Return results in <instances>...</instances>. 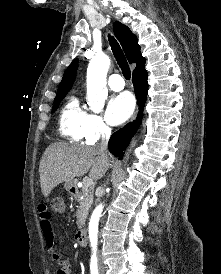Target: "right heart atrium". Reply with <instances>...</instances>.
Listing matches in <instances>:
<instances>
[{"label": "right heart atrium", "instance_id": "d8ad5b80", "mask_svg": "<svg viewBox=\"0 0 221 274\" xmlns=\"http://www.w3.org/2000/svg\"><path fill=\"white\" fill-rule=\"evenodd\" d=\"M110 134V128L102 116L90 113L84 126V139L88 143H95Z\"/></svg>", "mask_w": 221, "mask_h": 274}]
</instances>
